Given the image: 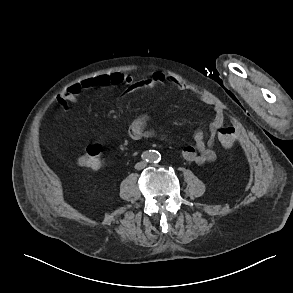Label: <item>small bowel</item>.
Returning <instances> with one entry per match:
<instances>
[{
	"label": "small bowel",
	"instance_id": "1",
	"mask_svg": "<svg viewBox=\"0 0 293 293\" xmlns=\"http://www.w3.org/2000/svg\"><path fill=\"white\" fill-rule=\"evenodd\" d=\"M169 82L182 91H187L188 87L181 81L168 77L161 72H155L150 77H144L134 83L132 78L121 72H110L99 74L94 77L85 78L67 87L57 96V103L63 109H67L69 104L79 102L81 92L91 88H108L127 85L129 89L149 87L155 88L158 84ZM224 124V114L221 109H214V117L209 125L208 133L199 130L194 134V144L183 148V157L186 161L196 164L211 163L216 159V153L212 148L215 134ZM148 117L145 115L137 117L128 128L129 135L134 140H140L152 135V131L147 128Z\"/></svg>",
	"mask_w": 293,
	"mask_h": 293
}]
</instances>
